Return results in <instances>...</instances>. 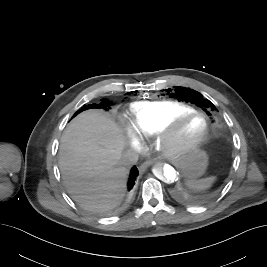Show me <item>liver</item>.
Masks as SVG:
<instances>
[{"label":"liver","instance_id":"obj_1","mask_svg":"<svg viewBox=\"0 0 267 267\" xmlns=\"http://www.w3.org/2000/svg\"><path fill=\"white\" fill-rule=\"evenodd\" d=\"M124 148L121 130L97 110L79 114L64 131L59 147L63 183L85 209L105 212L120 203L128 175Z\"/></svg>","mask_w":267,"mask_h":267}]
</instances>
